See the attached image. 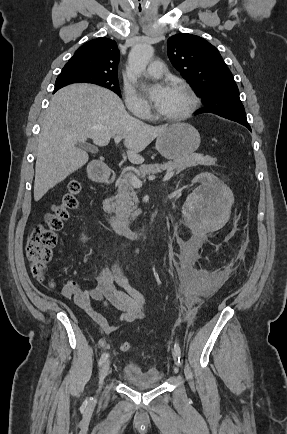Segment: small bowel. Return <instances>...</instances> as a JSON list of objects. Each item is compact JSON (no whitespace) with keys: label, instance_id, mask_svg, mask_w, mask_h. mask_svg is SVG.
<instances>
[{"label":"small bowel","instance_id":"c3829d8e","mask_svg":"<svg viewBox=\"0 0 287 434\" xmlns=\"http://www.w3.org/2000/svg\"><path fill=\"white\" fill-rule=\"evenodd\" d=\"M62 296L86 312L105 334L144 316L145 298L131 286L123 272L121 259L114 260L100 271L93 288L83 289L79 283L70 280L64 286ZM93 302H98L109 316L97 311Z\"/></svg>","mask_w":287,"mask_h":434}]
</instances>
